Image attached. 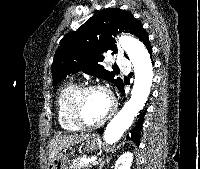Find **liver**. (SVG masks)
<instances>
[{
	"instance_id": "6515ba94",
	"label": "liver",
	"mask_w": 200,
	"mask_h": 169,
	"mask_svg": "<svg viewBox=\"0 0 200 169\" xmlns=\"http://www.w3.org/2000/svg\"><path fill=\"white\" fill-rule=\"evenodd\" d=\"M87 135H62L58 134L51 140L49 146V163H51L57 154L65 148L82 142Z\"/></svg>"
}]
</instances>
